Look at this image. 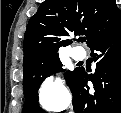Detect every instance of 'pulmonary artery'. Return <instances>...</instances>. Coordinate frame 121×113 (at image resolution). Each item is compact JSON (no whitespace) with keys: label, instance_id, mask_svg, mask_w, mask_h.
I'll return each mask as SVG.
<instances>
[{"label":"pulmonary artery","instance_id":"pulmonary-artery-1","mask_svg":"<svg viewBox=\"0 0 121 113\" xmlns=\"http://www.w3.org/2000/svg\"><path fill=\"white\" fill-rule=\"evenodd\" d=\"M71 55L75 60H82L85 58V53L82 50L78 49H73Z\"/></svg>","mask_w":121,"mask_h":113}]
</instances>
